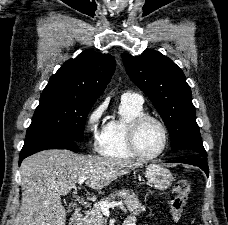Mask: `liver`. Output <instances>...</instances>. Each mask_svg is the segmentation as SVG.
I'll list each match as a JSON object with an SVG mask.
<instances>
[{"mask_svg":"<svg viewBox=\"0 0 228 225\" xmlns=\"http://www.w3.org/2000/svg\"><path fill=\"white\" fill-rule=\"evenodd\" d=\"M140 163L106 159L99 155H75L66 149H49L21 163L22 203L14 225H65L61 195L76 189L79 177H89L91 189H104Z\"/></svg>","mask_w":228,"mask_h":225,"instance_id":"6515ba94","label":"liver"}]
</instances>
